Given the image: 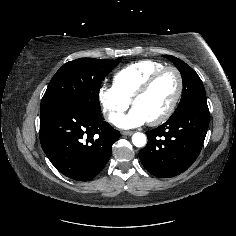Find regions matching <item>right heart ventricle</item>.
<instances>
[{"mask_svg": "<svg viewBox=\"0 0 236 236\" xmlns=\"http://www.w3.org/2000/svg\"><path fill=\"white\" fill-rule=\"evenodd\" d=\"M164 67L163 63L153 60H143L130 64L114 75V86L123 96L131 100L145 81Z\"/></svg>", "mask_w": 236, "mask_h": 236, "instance_id": "right-heart-ventricle-1", "label": "right heart ventricle"}]
</instances>
